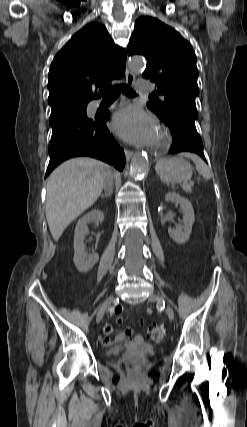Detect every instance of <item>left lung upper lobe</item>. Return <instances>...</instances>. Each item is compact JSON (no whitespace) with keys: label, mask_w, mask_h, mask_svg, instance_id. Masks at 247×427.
Returning a JSON list of instances; mask_svg holds the SVG:
<instances>
[{"label":"left lung upper lobe","mask_w":247,"mask_h":427,"mask_svg":"<svg viewBox=\"0 0 247 427\" xmlns=\"http://www.w3.org/2000/svg\"><path fill=\"white\" fill-rule=\"evenodd\" d=\"M127 53L146 58L143 77L155 81L157 92L164 96L163 100L148 102L150 110L164 122L174 116L197 119L198 69L188 41L158 19L140 17L135 22Z\"/></svg>","instance_id":"1"}]
</instances>
